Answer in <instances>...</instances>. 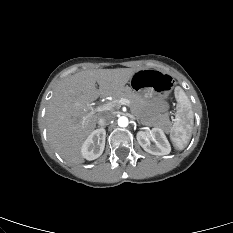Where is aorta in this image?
<instances>
[{
    "mask_svg": "<svg viewBox=\"0 0 233 233\" xmlns=\"http://www.w3.org/2000/svg\"><path fill=\"white\" fill-rule=\"evenodd\" d=\"M128 124H129V120H128L127 117L121 116V117L118 118V125L120 127H127Z\"/></svg>",
    "mask_w": 233,
    "mask_h": 233,
    "instance_id": "aorta-1",
    "label": "aorta"
}]
</instances>
